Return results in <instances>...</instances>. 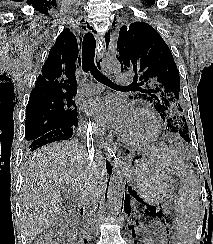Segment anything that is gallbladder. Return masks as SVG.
I'll use <instances>...</instances> for the list:
<instances>
[{"mask_svg":"<svg viewBox=\"0 0 213 244\" xmlns=\"http://www.w3.org/2000/svg\"><path fill=\"white\" fill-rule=\"evenodd\" d=\"M69 216L67 213L60 215L54 222L57 226H65L69 223Z\"/></svg>","mask_w":213,"mask_h":244,"instance_id":"bac80fb5","label":"gallbladder"}]
</instances>
